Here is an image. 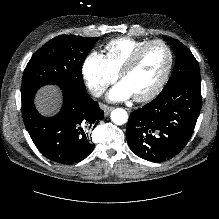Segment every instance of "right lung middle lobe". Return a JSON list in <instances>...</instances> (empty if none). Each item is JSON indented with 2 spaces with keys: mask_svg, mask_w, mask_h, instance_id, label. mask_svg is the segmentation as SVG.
Returning <instances> with one entry per match:
<instances>
[{
  "mask_svg": "<svg viewBox=\"0 0 219 219\" xmlns=\"http://www.w3.org/2000/svg\"><path fill=\"white\" fill-rule=\"evenodd\" d=\"M98 38L59 35L43 45L27 64L21 95L35 93L47 84L86 90L82 65Z\"/></svg>",
  "mask_w": 219,
  "mask_h": 219,
  "instance_id": "dd1d6c3e",
  "label": "right lung middle lobe"
}]
</instances>
